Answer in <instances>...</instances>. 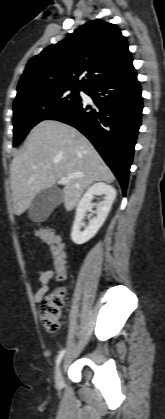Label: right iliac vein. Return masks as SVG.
Instances as JSON below:
<instances>
[{"label": "right iliac vein", "instance_id": "right-iliac-vein-1", "mask_svg": "<svg viewBox=\"0 0 165 419\" xmlns=\"http://www.w3.org/2000/svg\"><path fill=\"white\" fill-rule=\"evenodd\" d=\"M61 384H62V370H61V367H59L56 374V386L60 388Z\"/></svg>", "mask_w": 165, "mask_h": 419}]
</instances>
